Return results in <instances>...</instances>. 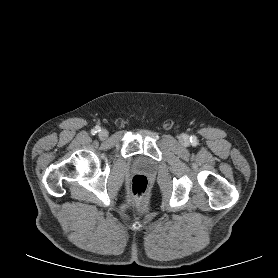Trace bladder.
<instances>
[{
    "label": "bladder",
    "mask_w": 278,
    "mask_h": 278,
    "mask_svg": "<svg viewBox=\"0 0 278 278\" xmlns=\"http://www.w3.org/2000/svg\"><path fill=\"white\" fill-rule=\"evenodd\" d=\"M135 165L139 168H144V169H147L150 166L148 160L145 157H138L135 160Z\"/></svg>",
    "instance_id": "31cf9c89"
}]
</instances>
